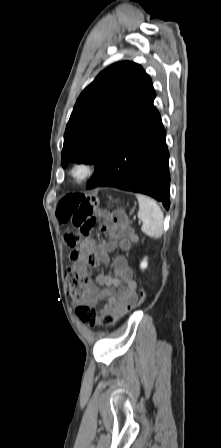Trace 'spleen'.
<instances>
[{"instance_id": "spleen-1", "label": "spleen", "mask_w": 221, "mask_h": 448, "mask_svg": "<svg viewBox=\"0 0 221 448\" xmlns=\"http://www.w3.org/2000/svg\"><path fill=\"white\" fill-rule=\"evenodd\" d=\"M139 202L138 218L142 221L141 230L147 236L158 239L163 234L164 215L159 205L150 197L136 194Z\"/></svg>"}]
</instances>
